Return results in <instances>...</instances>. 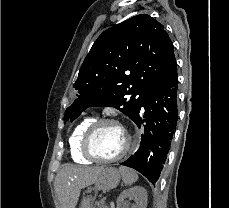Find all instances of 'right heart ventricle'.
<instances>
[{"mask_svg": "<svg viewBox=\"0 0 229 208\" xmlns=\"http://www.w3.org/2000/svg\"><path fill=\"white\" fill-rule=\"evenodd\" d=\"M94 121L93 117H87L83 119L71 132L69 136V154L71 160L76 164H91L94 162L92 158H84L80 153L81 144L83 143V137L88 126Z\"/></svg>", "mask_w": 229, "mask_h": 208, "instance_id": "1", "label": "right heart ventricle"}]
</instances>
